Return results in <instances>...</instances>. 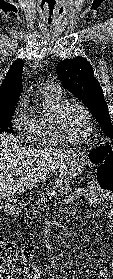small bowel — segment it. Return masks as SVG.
Listing matches in <instances>:
<instances>
[{"mask_svg": "<svg viewBox=\"0 0 113 279\" xmlns=\"http://www.w3.org/2000/svg\"><path fill=\"white\" fill-rule=\"evenodd\" d=\"M76 195H85L88 199V202L92 205L101 204L103 199H108L111 203V208L108 213V217L111 221V228L113 230V194H104L96 189L94 184L90 183L87 189H77L75 191ZM113 264V262H112ZM25 279H41L40 271L37 268H26L22 271ZM113 275L108 271L105 266H101L98 273V279H111ZM9 274L7 272L0 274V279H9ZM79 278V277H78ZM82 278V277H80ZM49 279V278H47Z\"/></svg>", "mask_w": 113, "mask_h": 279, "instance_id": "obj_1", "label": "small bowel"}]
</instances>
